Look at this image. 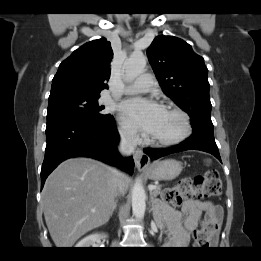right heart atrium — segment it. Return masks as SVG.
<instances>
[{"label":"right heart atrium","mask_w":261,"mask_h":261,"mask_svg":"<svg viewBox=\"0 0 261 261\" xmlns=\"http://www.w3.org/2000/svg\"><path fill=\"white\" fill-rule=\"evenodd\" d=\"M119 133L121 135V138L127 143H133L137 140V135L135 134V132L127 127H120Z\"/></svg>","instance_id":"1"}]
</instances>
